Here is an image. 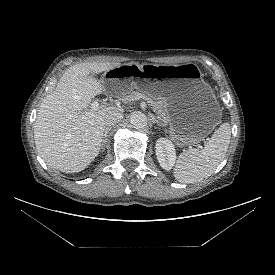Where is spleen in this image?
Wrapping results in <instances>:
<instances>
[{
	"instance_id": "1",
	"label": "spleen",
	"mask_w": 275,
	"mask_h": 275,
	"mask_svg": "<svg viewBox=\"0 0 275 275\" xmlns=\"http://www.w3.org/2000/svg\"><path fill=\"white\" fill-rule=\"evenodd\" d=\"M231 138L229 123H223L202 150L190 149L181 153L173 175L181 183H196L211 176L224 159Z\"/></svg>"
}]
</instances>
